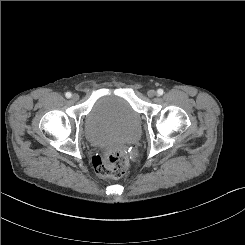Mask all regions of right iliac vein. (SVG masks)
Wrapping results in <instances>:
<instances>
[{"instance_id": "right-iliac-vein-1", "label": "right iliac vein", "mask_w": 245, "mask_h": 245, "mask_svg": "<svg viewBox=\"0 0 245 245\" xmlns=\"http://www.w3.org/2000/svg\"><path fill=\"white\" fill-rule=\"evenodd\" d=\"M78 99H79V95L78 94L75 93V94L72 95V100L73 101H77Z\"/></svg>"}]
</instances>
